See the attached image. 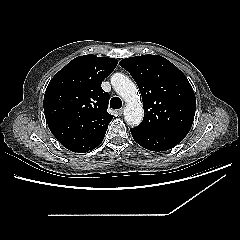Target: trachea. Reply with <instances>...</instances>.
I'll list each match as a JSON object with an SVG mask.
<instances>
[{
  "label": "trachea",
  "mask_w": 240,
  "mask_h": 240,
  "mask_svg": "<svg viewBox=\"0 0 240 240\" xmlns=\"http://www.w3.org/2000/svg\"><path fill=\"white\" fill-rule=\"evenodd\" d=\"M122 107V101L119 97H113L110 100V108L112 109H120Z\"/></svg>",
  "instance_id": "3493384b"
}]
</instances>
